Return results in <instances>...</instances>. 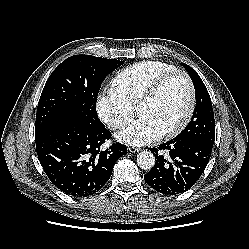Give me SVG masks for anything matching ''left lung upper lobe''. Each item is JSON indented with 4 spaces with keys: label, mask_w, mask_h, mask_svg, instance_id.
Returning <instances> with one entry per match:
<instances>
[{
    "label": "left lung upper lobe",
    "mask_w": 249,
    "mask_h": 249,
    "mask_svg": "<svg viewBox=\"0 0 249 249\" xmlns=\"http://www.w3.org/2000/svg\"><path fill=\"white\" fill-rule=\"evenodd\" d=\"M182 65L193 81L196 106L191 121L175 138L178 140L200 139L213 144L215 121L209 93L197 72L185 63H182Z\"/></svg>",
    "instance_id": "obj_1"
}]
</instances>
